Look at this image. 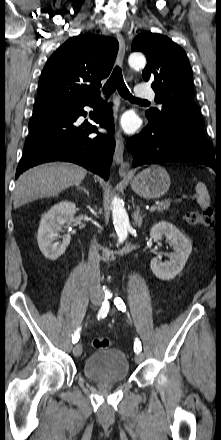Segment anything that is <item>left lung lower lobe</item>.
<instances>
[{"mask_svg":"<svg viewBox=\"0 0 221 440\" xmlns=\"http://www.w3.org/2000/svg\"><path fill=\"white\" fill-rule=\"evenodd\" d=\"M133 167L163 162H194L221 174V157L215 156L204 132V123L182 116H170L152 122L128 141Z\"/></svg>","mask_w":221,"mask_h":440,"instance_id":"0a47b994","label":"left lung lower lobe"}]
</instances>
